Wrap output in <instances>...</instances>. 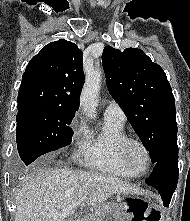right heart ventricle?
<instances>
[{
    "label": "right heart ventricle",
    "instance_id": "1",
    "mask_svg": "<svg viewBox=\"0 0 190 221\" xmlns=\"http://www.w3.org/2000/svg\"><path fill=\"white\" fill-rule=\"evenodd\" d=\"M128 137L124 122L105 118L102 128L89 135L90 148L85 164L90 169L111 175L136 177L122 162L120 147Z\"/></svg>",
    "mask_w": 190,
    "mask_h": 221
}]
</instances>
